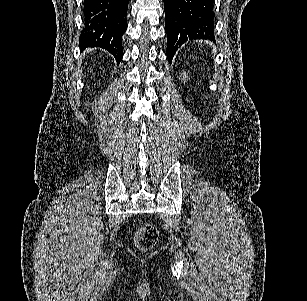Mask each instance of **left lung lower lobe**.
Segmentation results:
<instances>
[{
    "instance_id": "obj_1",
    "label": "left lung lower lobe",
    "mask_w": 307,
    "mask_h": 301,
    "mask_svg": "<svg viewBox=\"0 0 307 301\" xmlns=\"http://www.w3.org/2000/svg\"><path fill=\"white\" fill-rule=\"evenodd\" d=\"M213 6V0H164L170 63L177 48L188 39L215 41Z\"/></svg>"
}]
</instances>
